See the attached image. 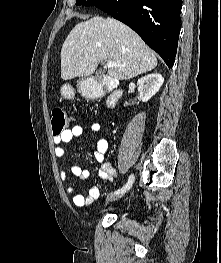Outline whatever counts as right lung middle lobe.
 <instances>
[{"label":"right lung middle lobe","instance_id":"dd1d6c3e","mask_svg":"<svg viewBox=\"0 0 221 263\" xmlns=\"http://www.w3.org/2000/svg\"><path fill=\"white\" fill-rule=\"evenodd\" d=\"M102 0H76V5L97 6Z\"/></svg>","mask_w":221,"mask_h":263}]
</instances>
